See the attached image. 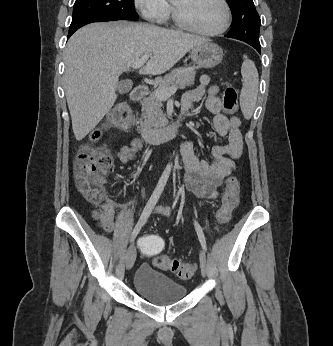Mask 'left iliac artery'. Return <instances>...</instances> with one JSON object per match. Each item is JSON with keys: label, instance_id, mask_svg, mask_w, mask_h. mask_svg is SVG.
<instances>
[{"label": "left iliac artery", "instance_id": "obj_1", "mask_svg": "<svg viewBox=\"0 0 333 346\" xmlns=\"http://www.w3.org/2000/svg\"><path fill=\"white\" fill-rule=\"evenodd\" d=\"M194 225H195V229H196V232H197L199 241H200V243H201V245H202V248L204 249V251H206V250H207V246H206V241H205V237H204L202 228H201V226L198 224L197 221H194Z\"/></svg>", "mask_w": 333, "mask_h": 346}]
</instances>
